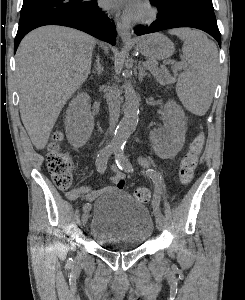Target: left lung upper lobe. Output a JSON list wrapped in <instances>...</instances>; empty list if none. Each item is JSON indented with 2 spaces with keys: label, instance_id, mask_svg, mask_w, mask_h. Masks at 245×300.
Returning <instances> with one entry per match:
<instances>
[{
  "label": "left lung upper lobe",
  "instance_id": "obj_1",
  "mask_svg": "<svg viewBox=\"0 0 245 300\" xmlns=\"http://www.w3.org/2000/svg\"><path fill=\"white\" fill-rule=\"evenodd\" d=\"M150 2L160 5L162 8H167L175 3H190L214 10L212 0H150Z\"/></svg>",
  "mask_w": 245,
  "mask_h": 300
}]
</instances>
